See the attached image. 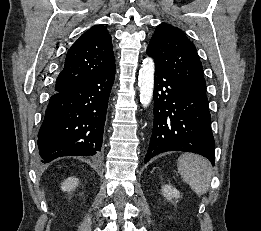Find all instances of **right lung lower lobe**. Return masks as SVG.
<instances>
[{"label": "right lung lower lobe", "mask_w": 261, "mask_h": 231, "mask_svg": "<svg viewBox=\"0 0 261 231\" xmlns=\"http://www.w3.org/2000/svg\"><path fill=\"white\" fill-rule=\"evenodd\" d=\"M115 66L51 96L38 134L42 163L62 156L100 154Z\"/></svg>", "instance_id": "98d812e1"}]
</instances>
